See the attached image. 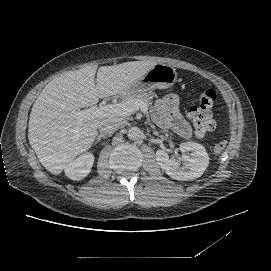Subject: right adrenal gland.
I'll list each match as a JSON object with an SVG mask.
<instances>
[{"label":"right adrenal gland","mask_w":271,"mask_h":271,"mask_svg":"<svg viewBox=\"0 0 271 271\" xmlns=\"http://www.w3.org/2000/svg\"><path fill=\"white\" fill-rule=\"evenodd\" d=\"M107 137V134H99L97 137H96V141H95V144H97L98 142H100L101 138H106Z\"/></svg>","instance_id":"obj_1"}]
</instances>
